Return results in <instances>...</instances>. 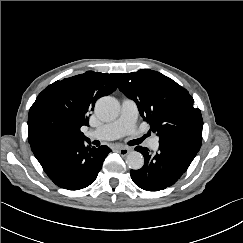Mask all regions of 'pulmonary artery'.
<instances>
[{
  "mask_svg": "<svg viewBox=\"0 0 243 243\" xmlns=\"http://www.w3.org/2000/svg\"><path fill=\"white\" fill-rule=\"evenodd\" d=\"M137 116L138 108L136 102L131 99H124L119 118L88 132L87 136L99 140H113L123 135H133L136 132ZM148 145L152 150H157L159 147L158 137L153 136L149 138Z\"/></svg>",
  "mask_w": 243,
  "mask_h": 243,
  "instance_id": "1",
  "label": "pulmonary artery"
}]
</instances>
